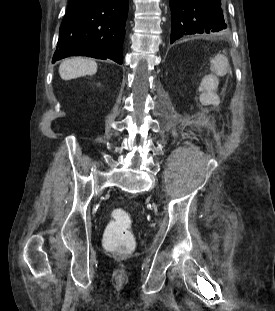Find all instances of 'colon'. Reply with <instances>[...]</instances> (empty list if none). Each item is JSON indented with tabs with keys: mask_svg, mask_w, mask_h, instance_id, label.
Segmentation results:
<instances>
[{
	"mask_svg": "<svg viewBox=\"0 0 275 311\" xmlns=\"http://www.w3.org/2000/svg\"><path fill=\"white\" fill-rule=\"evenodd\" d=\"M111 215L112 220L108 223L104 235L105 247L121 253L131 252L135 247V238L130 231L132 222L130 215L118 208L114 209Z\"/></svg>",
	"mask_w": 275,
	"mask_h": 311,
	"instance_id": "1",
	"label": "colon"
}]
</instances>
